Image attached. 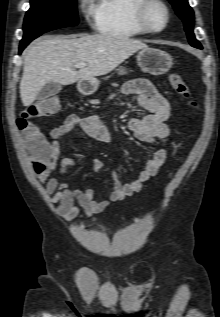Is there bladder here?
Here are the masks:
<instances>
[{
    "mask_svg": "<svg viewBox=\"0 0 220 317\" xmlns=\"http://www.w3.org/2000/svg\"><path fill=\"white\" fill-rule=\"evenodd\" d=\"M95 230L100 231V230H102V227L101 226H97V227H95Z\"/></svg>",
    "mask_w": 220,
    "mask_h": 317,
    "instance_id": "31cf9c89",
    "label": "bladder"
}]
</instances>
